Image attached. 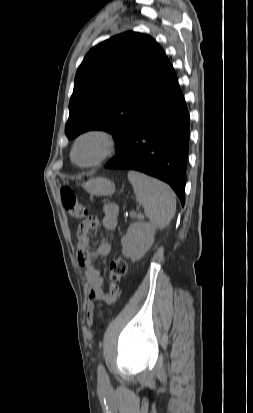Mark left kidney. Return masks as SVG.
<instances>
[{
	"mask_svg": "<svg viewBox=\"0 0 253 413\" xmlns=\"http://www.w3.org/2000/svg\"><path fill=\"white\" fill-rule=\"evenodd\" d=\"M156 228L146 222H135L121 239L122 253L133 262L140 260L154 242Z\"/></svg>",
	"mask_w": 253,
	"mask_h": 413,
	"instance_id": "left-kidney-1",
	"label": "left kidney"
}]
</instances>
